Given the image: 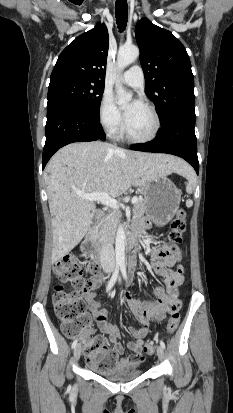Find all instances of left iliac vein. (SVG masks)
<instances>
[{
    "label": "left iliac vein",
    "instance_id": "obj_1",
    "mask_svg": "<svg viewBox=\"0 0 233 413\" xmlns=\"http://www.w3.org/2000/svg\"><path fill=\"white\" fill-rule=\"evenodd\" d=\"M120 281V278H119ZM157 356L160 360L164 359V349L161 346L157 347Z\"/></svg>",
    "mask_w": 233,
    "mask_h": 413
}]
</instances>
